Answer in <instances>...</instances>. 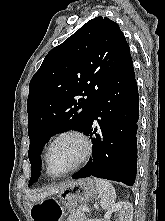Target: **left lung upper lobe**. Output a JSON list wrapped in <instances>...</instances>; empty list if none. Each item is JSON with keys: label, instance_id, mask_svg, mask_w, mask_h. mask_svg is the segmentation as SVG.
I'll return each mask as SVG.
<instances>
[{"label": "left lung upper lobe", "instance_id": "left-lung-upper-lobe-1", "mask_svg": "<svg viewBox=\"0 0 165 221\" xmlns=\"http://www.w3.org/2000/svg\"><path fill=\"white\" fill-rule=\"evenodd\" d=\"M130 57L124 34L107 17L88 21L46 55L27 100L29 186L39 178L48 140L67 129H84L102 92Z\"/></svg>", "mask_w": 165, "mask_h": 221}]
</instances>
